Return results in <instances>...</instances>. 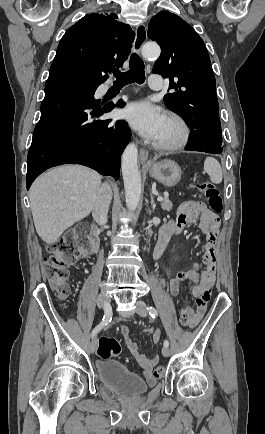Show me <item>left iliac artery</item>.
I'll use <instances>...</instances> for the list:
<instances>
[{
  "label": "left iliac artery",
  "instance_id": "left-iliac-artery-1",
  "mask_svg": "<svg viewBox=\"0 0 265 434\" xmlns=\"http://www.w3.org/2000/svg\"><path fill=\"white\" fill-rule=\"evenodd\" d=\"M147 310H148V312H149V315H150L152 318H156V316L158 315L157 310H156L153 306H149V307H147ZM164 346H166V347L169 346V341H168V340H165V341H164Z\"/></svg>",
  "mask_w": 265,
  "mask_h": 434
}]
</instances>
